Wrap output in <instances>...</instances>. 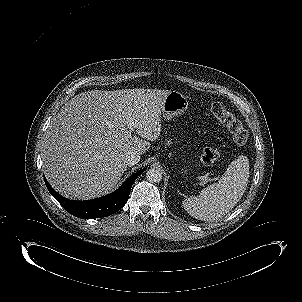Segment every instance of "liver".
I'll list each match as a JSON object with an SVG mask.
<instances>
[{"label":"liver","instance_id":"liver-1","mask_svg":"<svg viewBox=\"0 0 302 302\" xmlns=\"http://www.w3.org/2000/svg\"><path fill=\"white\" fill-rule=\"evenodd\" d=\"M169 92L91 90L73 97L46 135L43 169L50 185L64 197L78 200L112 191L127 169L126 155H142L150 148L149 141L158 139L159 111Z\"/></svg>","mask_w":302,"mask_h":302}]
</instances>
